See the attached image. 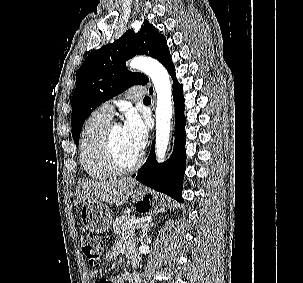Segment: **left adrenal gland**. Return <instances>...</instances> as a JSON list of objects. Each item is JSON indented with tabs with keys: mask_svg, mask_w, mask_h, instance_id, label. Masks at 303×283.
Here are the masks:
<instances>
[{
	"mask_svg": "<svg viewBox=\"0 0 303 283\" xmlns=\"http://www.w3.org/2000/svg\"><path fill=\"white\" fill-rule=\"evenodd\" d=\"M152 221H153V220H149V221H148L147 223H145L144 226L142 227V233H141L140 240H143V239L147 236L148 230H150V228H151L152 226L155 225Z\"/></svg>",
	"mask_w": 303,
	"mask_h": 283,
	"instance_id": "1",
	"label": "left adrenal gland"
}]
</instances>
